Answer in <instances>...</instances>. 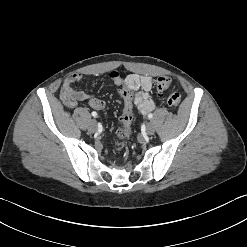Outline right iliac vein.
<instances>
[{
    "label": "right iliac vein",
    "mask_w": 247,
    "mask_h": 247,
    "mask_svg": "<svg viewBox=\"0 0 247 247\" xmlns=\"http://www.w3.org/2000/svg\"><path fill=\"white\" fill-rule=\"evenodd\" d=\"M89 131L94 133L97 131V123L96 120L92 119L89 124Z\"/></svg>",
    "instance_id": "1"
}]
</instances>
